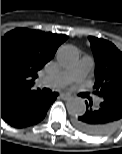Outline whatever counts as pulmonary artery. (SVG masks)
I'll return each instance as SVG.
<instances>
[{"label":"pulmonary artery","mask_w":122,"mask_h":154,"mask_svg":"<svg viewBox=\"0 0 122 154\" xmlns=\"http://www.w3.org/2000/svg\"><path fill=\"white\" fill-rule=\"evenodd\" d=\"M93 66V58L84 56L74 66L62 70L56 75L44 77L43 83L55 88L64 87L73 81L84 83ZM97 101L99 102V100Z\"/></svg>","instance_id":"e3ab8cb5"}]
</instances>
